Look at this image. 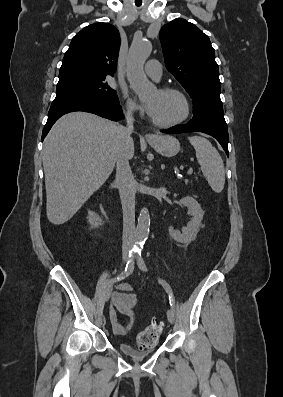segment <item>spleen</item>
Wrapping results in <instances>:
<instances>
[{
    "instance_id": "1",
    "label": "spleen",
    "mask_w": 283,
    "mask_h": 397,
    "mask_svg": "<svg viewBox=\"0 0 283 397\" xmlns=\"http://www.w3.org/2000/svg\"><path fill=\"white\" fill-rule=\"evenodd\" d=\"M188 140L196 151V158L209 186L214 192L220 193L225 184V169L220 154L206 138L192 136Z\"/></svg>"
}]
</instances>
